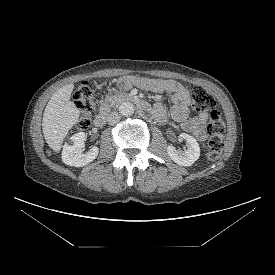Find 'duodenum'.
Wrapping results in <instances>:
<instances>
[{
	"instance_id": "duodenum-1",
	"label": "duodenum",
	"mask_w": 275,
	"mask_h": 275,
	"mask_svg": "<svg viewBox=\"0 0 275 275\" xmlns=\"http://www.w3.org/2000/svg\"><path fill=\"white\" fill-rule=\"evenodd\" d=\"M129 100L137 104L142 115L144 116L154 115L151 106L147 102L137 97H130ZM107 117H108V110L104 109L100 111L99 114L94 119L95 126L97 127L103 126L106 123Z\"/></svg>"
}]
</instances>
